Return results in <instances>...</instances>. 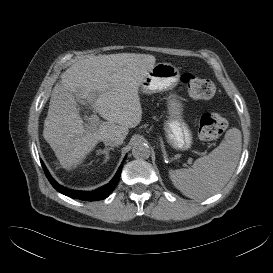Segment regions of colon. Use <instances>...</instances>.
Listing matches in <instances>:
<instances>
[{"instance_id": "5ec220e1", "label": "colon", "mask_w": 273, "mask_h": 273, "mask_svg": "<svg viewBox=\"0 0 273 273\" xmlns=\"http://www.w3.org/2000/svg\"><path fill=\"white\" fill-rule=\"evenodd\" d=\"M181 82L188 89L191 97L195 99H209L216 93L214 83L203 77L185 73ZM226 120L217 113H205L200 119L199 134L203 140L211 141L219 138L226 130Z\"/></svg>"}]
</instances>
